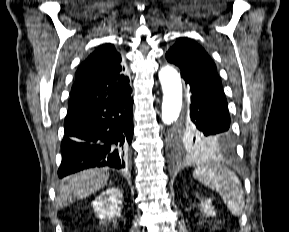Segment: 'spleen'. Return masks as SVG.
Instances as JSON below:
<instances>
[{"label": "spleen", "mask_w": 289, "mask_h": 232, "mask_svg": "<svg viewBox=\"0 0 289 232\" xmlns=\"http://www.w3.org/2000/svg\"><path fill=\"white\" fill-rule=\"evenodd\" d=\"M193 176L218 192L232 215H241L245 204L244 191L239 178L233 171L219 162H201Z\"/></svg>", "instance_id": "1"}]
</instances>
